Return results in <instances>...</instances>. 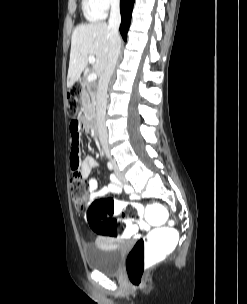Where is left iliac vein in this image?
I'll list each match as a JSON object with an SVG mask.
<instances>
[{
  "instance_id": "left-iliac-vein-1",
  "label": "left iliac vein",
  "mask_w": 247,
  "mask_h": 304,
  "mask_svg": "<svg viewBox=\"0 0 247 304\" xmlns=\"http://www.w3.org/2000/svg\"><path fill=\"white\" fill-rule=\"evenodd\" d=\"M113 166H114V171H115V175H116L117 179L122 183H126L127 180H126L125 176L120 172L118 165L116 163H114Z\"/></svg>"
}]
</instances>
